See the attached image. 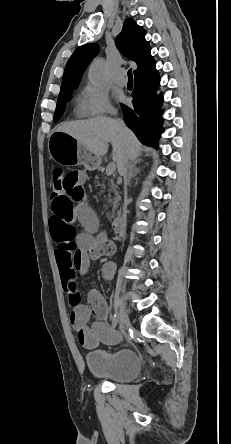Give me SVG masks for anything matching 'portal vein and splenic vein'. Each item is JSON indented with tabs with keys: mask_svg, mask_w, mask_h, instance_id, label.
<instances>
[{
	"mask_svg": "<svg viewBox=\"0 0 231 444\" xmlns=\"http://www.w3.org/2000/svg\"><path fill=\"white\" fill-rule=\"evenodd\" d=\"M115 169H116L115 163L110 162L106 168V175L111 176L115 172Z\"/></svg>",
	"mask_w": 231,
	"mask_h": 444,
	"instance_id": "obj_1",
	"label": "portal vein and splenic vein"
}]
</instances>
